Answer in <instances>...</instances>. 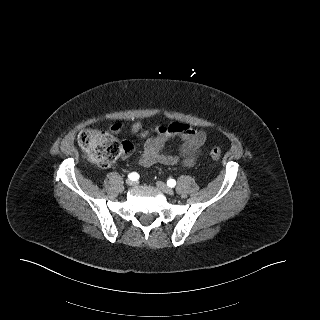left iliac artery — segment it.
<instances>
[{"label":"left iliac artery","instance_id":"left-iliac-artery-1","mask_svg":"<svg viewBox=\"0 0 320 320\" xmlns=\"http://www.w3.org/2000/svg\"><path fill=\"white\" fill-rule=\"evenodd\" d=\"M167 184L169 187H174L176 185V181L174 179H169Z\"/></svg>","mask_w":320,"mask_h":320}]
</instances>
